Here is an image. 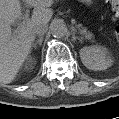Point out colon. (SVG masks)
Segmentation results:
<instances>
[{
	"instance_id": "obj_1",
	"label": "colon",
	"mask_w": 119,
	"mask_h": 119,
	"mask_svg": "<svg viewBox=\"0 0 119 119\" xmlns=\"http://www.w3.org/2000/svg\"><path fill=\"white\" fill-rule=\"evenodd\" d=\"M110 6L114 14V20L119 16V1L112 0L110 1ZM116 36L119 38V27L116 28Z\"/></svg>"
}]
</instances>
